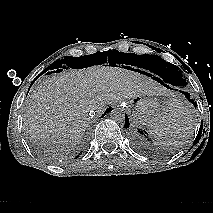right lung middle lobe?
<instances>
[{"label":"right lung middle lobe","instance_id":"right-lung-middle-lobe-1","mask_svg":"<svg viewBox=\"0 0 213 213\" xmlns=\"http://www.w3.org/2000/svg\"><path fill=\"white\" fill-rule=\"evenodd\" d=\"M127 55V53H120L114 49L106 52H96L92 55H85L77 58L67 56L64 59H59L53 62L46 70H57L66 67L80 69L105 62H109V64H119V61Z\"/></svg>","mask_w":213,"mask_h":213}]
</instances>
